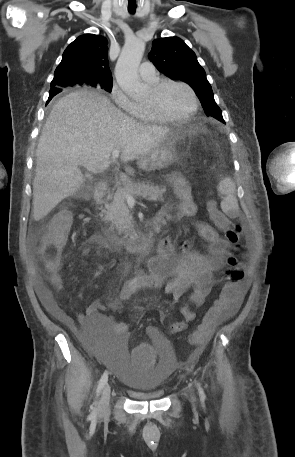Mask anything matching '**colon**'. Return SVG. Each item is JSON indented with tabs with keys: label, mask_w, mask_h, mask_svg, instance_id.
Instances as JSON below:
<instances>
[{
	"label": "colon",
	"mask_w": 295,
	"mask_h": 457,
	"mask_svg": "<svg viewBox=\"0 0 295 457\" xmlns=\"http://www.w3.org/2000/svg\"><path fill=\"white\" fill-rule=\"evenodd\" d=\"M212 222L221 228L227 239L238 246L241 236V226L232 222L216 206L214 201L207 203ZM71 224V215L68 211H61L55 215L48 225L39 244L41 260L52 275L57 286H60L58 272L61 269V254L65 245L66 236ZM244 269L238 258L234 255L227 260L223 278L225 285L212 308L206 313L202 322L190 337V342L196 346L204 345L210 338L216 323L225 313L231 312L239 300L240 285L244 279ZM133 359L139 372H147L156 360V351L152 346H133Z\"/></svg>",
	"instance_id": "colon-1"
}]
</instances>
